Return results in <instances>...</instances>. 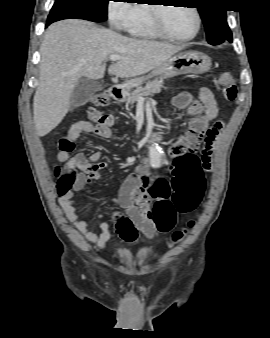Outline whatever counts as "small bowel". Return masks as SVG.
Returning a JSON list of instances; mask_svg holds the SVG:
<instances>
[{
  "mask_svg": "<svg viewBox=\"0 0 270 338\" xmlns=\"http://www.w3.org/2000/svg\"><path fill=\"white\" fill-rule=\"evenodd\" d=\"M172 103L177 108H187L194 119L191 121L182 142L172 146L170 149L174 159V163L171 165V178L169 180H155L143 167L138 165L134 172L127 177L121 187L119 196L115 198V201L125 209L130 223L134 226V232H130L126 225L115 224L117 233L121 239L128 243L137 240L135 228L151 239L157 231L167 232L175 224L176 214L173 217L172 223L168 227H163L150 220L147 214L143 213L135 205L134 202L136 200L140 201L142 199L144 189L155 186L161 194L160 202L168 201L171 204L170 200H166V193L169 192L171 183L187 185L194 173L202 170L203 167V163L199 161L194 153L197 143L194 141L193 136L196 131L204 129L211 120L216 118L218 106L214 94L209 88L201 87L198 90L197 98H193L189 92L183 91L177 93L172 98ZM219 129V126L213 127L208 135L206 145L210 150L215 144ZM83 133L95 134L104 138H109L112 135L111 130L102 124L79 121L70 127L64 138L74 143ZM69 154L70 152L60 151L58 158L60 160H67ZM101 157L102 152L99 150L92 152L89 157L82 152H78L72 156L68 164L77 167L81 172L77 175L73 185L69 189L59 190L58 193L59 203L68 221L83 235L86 241L94 244L99 250H103L112 237L110 224L104 221L103 216L100 214L98 215L100 233L88 232V221L78 217L73 198L75 193L82 191L87 184L100 179V170L105 166V163L100 160Z\"/></svg>",
  "mask_w": 270,
  "mask_h": 338,
  "instance_id": "obj_1",
  "label": "small bowel"
}]
</instances>
